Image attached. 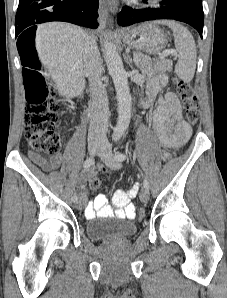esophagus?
<instances>
[{"label":"esophagus","instance_id":"esophagus-1","mask_svg":"<svg viewBox=\"0 0 227 298\" xmlns=\"http://www.w3.org/2000/svg\"><path fill=\"white\" fill-rule=\"evenodd\" d=\"M108 5L110 7L111 12L116 13V11L118 9L117 0H108Z\"/></svg>","mask_w":227,"mask_h":298}]
</instances>
